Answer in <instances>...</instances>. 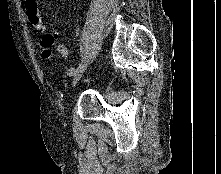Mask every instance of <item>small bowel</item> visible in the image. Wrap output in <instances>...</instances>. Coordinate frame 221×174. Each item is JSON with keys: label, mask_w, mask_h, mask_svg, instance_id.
Returning <instances> with one entry per match:
<instances>
[{"label": "small bowel", "mask_w": 221, "mask_h": 174, "mask_svg": "<svg viewBox=\"0 0 221 174\" xmlns=\"http://www.w3.org/2000/svg\"><path fill=\"white\" fill-rule=\"evenodd\" d=\"M23 3L26 15L29 21L31 22L34 30L40 34L44 33L46 31V24L39 14L38 0H23ZM56 39H57L56 33H47L43 35L41 39V45L43 48L42 49L43 59L48 60L52 57ZM59 53L65 59H68L69 53L66 48L59 49Z\"/></svg>", "instance_id": "small-bowel-1"}]
</instances>
